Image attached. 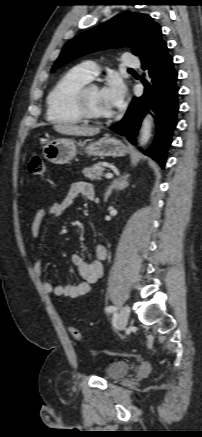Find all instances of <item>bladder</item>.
Instances as JSON below:
<instances>
[{
  "instance_id": "31cf9c89",
  "label": "bladder",
  "mask_w": 202,
  "mask_h": 437,
  "mask_svg": "<svg viewBox=\"0 0 202 437\" xmlns=\"http://www.w3.org/2000/svg\"><path fill=\"white\" fill-rule=\"evenodd\" d=\"M131 370V364L127 361H113L105 368V377L110 380H117L124 377Z\"/></svg>"
}]
</instances>
